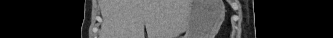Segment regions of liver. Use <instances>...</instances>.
I'll return each instance as SVG.
<instances>
[{
  "mask_svg": "<svg viewBox=\"0 0 333 38\" xmlns=\"http://www.w3.org/2000/svg\"><path fill=\"white\" fill-rule=\"evenodd\" d=\"M162 2L159 0H143L141 5L142 11H157L161 7Z\"/></svg>",
  "mask_w": 333,
  "mask_h": 38,
  "instance_id": "obj_1",
  "label": "liver"
}]
</instances>
